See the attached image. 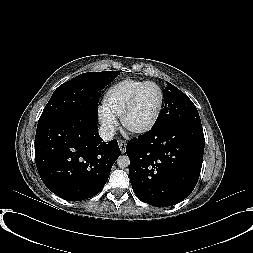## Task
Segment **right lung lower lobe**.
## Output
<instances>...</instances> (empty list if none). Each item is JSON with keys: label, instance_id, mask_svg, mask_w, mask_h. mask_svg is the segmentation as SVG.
Listing matches in <instances>:
<instances>
[{"label": "right lung lower lobe", "instance_id": "right-lung-lower-lobe-1", "mask_svg": "<svg viewBox=\"0 0 253 253\" xmlns=\"http://www.w3.org/2000/svg\"><path fill=\"white\" fill-rule=\"evenodd\" d=\"M102 141L97 116L84 111L38 124L35 161L47 188L70 201L98 194L120 156L116 140Z\"/></svg>", "mask_w": 253, "mask_h": 253}]
</instances>
